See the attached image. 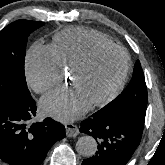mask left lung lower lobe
Masks as SVG:
<instances>
[{"instance_id": "obj_1", "label": "left lung lower lobe", "mask_w": 165, "mask_h": 165, "mask_svg": "<svg viewBox=\"0 0 165 165\" xmlns=\"http://www.w3.org/2000/svg\"><path fill=\"white\" fill-rule=\"evenodd\" d=\"M80 132L98 141L96 154L82 165H125L140 144L144 122L102 119L96 116L81 122Z\"/></svg>"}]
</instances>
